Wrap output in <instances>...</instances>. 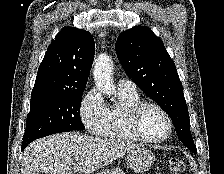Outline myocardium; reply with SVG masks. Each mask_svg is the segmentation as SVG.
<instances>
[{"label":"myocardium","instance_id":"obj_1","mask_svg":"<svg viewBox=\"0 0 224 174\" xmlns=\"http://www.w3.org/2000/svg\"><path fill=\"white\" fill-rule=\"evenodd\" d=\"M146 108H154L158 110L166 119L167 125H168V130L166 134L162 137L159 138H152L146 136L140 126V118L143 113V111ZM127 123L128 126L131 130V132L141 141L147 142V143H161L167 140L170 135L172 134L173 130V123L170 115L167 113V111L160 106L159 104L155 102H150V101H140L136 105H134L128 112L127 114Z\"/></svg>","mask_w":224,"mask_h":174}]
</instances>
